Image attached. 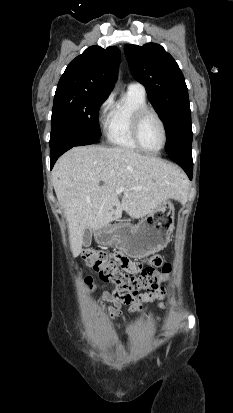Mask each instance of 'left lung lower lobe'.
Returning a JSON list of instances; mask_svg holds the SVG:
<instances>
[{
    "label": "left lung lower lobe",
    "mask_w": 233,
    "mask_h": 413,
    "mask_svg": "<svg viewBox=\"0 0 233 413\" xmlns=\"http://www.w3.org/2000/svg\"><path fill=\"white\" fill-rule=\"evenodd\" d=\"M169 158L176 162L186 172L190 180H192L193 161L191 153H176L169 155Z\"/></svg>",
    "instance_id": "0a47b994"
}]
</instances>
